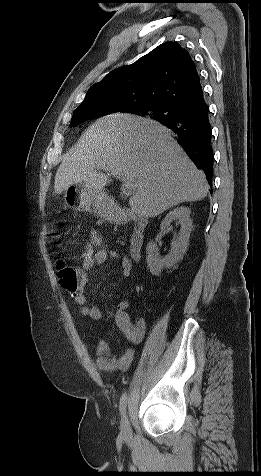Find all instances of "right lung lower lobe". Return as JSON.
<instances>
[{
  "mask_svg": "<svg viewBox=\"0 0 261 476\" xmlns=\"http://www.w3.org/2000/svg\"><path fill=\"white\" fill-rule=\"evenodd\" d=\"M171 129L187 155L202 169L209 182L213 176L212 130L209 122V107L204 95L194 103L178 109L171 117L159 121Z\"/></svg>",
  "mask_w": 261,
  "mask_h": 476,
  "instance_id": "98d812e1",
  "label": "right lung lower lobe"
}]
</instances>
